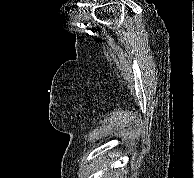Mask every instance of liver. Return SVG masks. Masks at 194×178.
Here are the masks:
<instances>
[{"instance_id":"liver-1","label":"liver","mask_w":194,"mask_h":178,"mask_svg":"<svg viewBox=\"0 0 194 178\" xmlns=\"http://www.w3.org/2000/svg\"><path fill=\"white\" fill-rule=\"evenodd\" d=\"M121 171L120 170H114L110 173H106L104 178H121Z\"/></svg>"}]
</instances>
